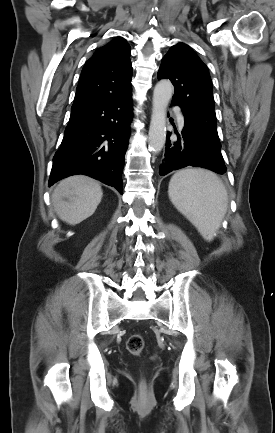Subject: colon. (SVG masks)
Here are the masks:
<instances>
[{
  "mask_svg": "<svg viewBox=\"0 0 275 433\" xmlns=\"http://www.w3.org/2000/svg\"><path fill=\"white\" fill-rule=\"evenodd\" d=\"M144 349V341L140 334H133L127 340V350L134 356H140ZM145 384L142 382V387Z\"/></svg>",
  "mask_w": 275,
  "mask_h": 433,
  "instance_id": "5ec220e1",
  "label": "colon"
}]
</instances>
